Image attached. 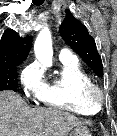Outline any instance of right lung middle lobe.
<instances>
[{
  "label": "right lung middle lobe",
  "instance_id": "dd1d6c3e",
  "mask_svg": "<svg viewBox=\"0 0 117 136\" xmlns=\"http://www.w3.org/2000/svg\"><path fill=\"white\" fill-rule=\"evenodd\" d=\"M19 64L0 66V91H17V66Z\"/></svg>",
  "mask_w": 117,
  "mask_h": 136
}]
</instances>
